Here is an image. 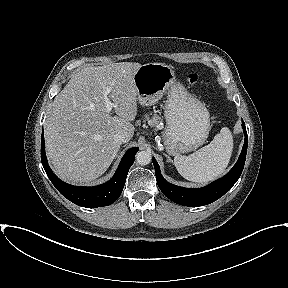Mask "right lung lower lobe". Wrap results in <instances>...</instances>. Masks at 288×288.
<instances>
[{
    "mask_svg": "<svg viewBox=\"0 0 288 288\" xmlns=\"http://www.w3.org/2000/svg\"><path fill=\"white\" fill-rule=\"evenodd\" d=\"M137 151L138 148L133 147L126 152L117 171L108 182L94 187L72 186L61 181L50 169L45 155L43 133L41 136V161L48 178L64 197L74 204L86 208L107 206L118 199Z\"/></svg>",
    "mask_w": 288,
    "mask_h": 288,
    "instance_id": "98d812e1",
    "label": "right lung lower lobe"
}]
</instances>
